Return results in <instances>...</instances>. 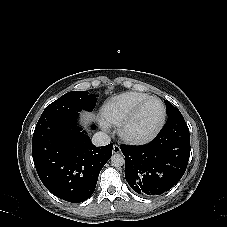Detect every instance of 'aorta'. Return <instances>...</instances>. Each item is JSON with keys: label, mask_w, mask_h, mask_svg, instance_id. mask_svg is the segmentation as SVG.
<instances>
[{"label": "aorta", "mask_w": 227, "mask_h": 227, "mask_svg": "<svg viewBox=\"0 0 227 227\" xmlns=\"http://www.w3.org/2000/svg\"><path fill=\"white\" fill-rule=\"evenodd\" d=\"M125 163L124 155L121 153H116L111 157V164L114 167H121Z\"/></svg>", "instance_id": "1"}]
</instances>
